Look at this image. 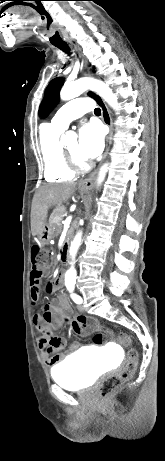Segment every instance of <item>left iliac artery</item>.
I'll use <instances>...</instances> for the list:
<instances>
[{
    "mask_svg": "<svg viewBox=\"0 0 165 461\" xmlns=\"http://www.w3.org/2000/svg\"><path fill=\"white\" fill-rule=\"evenodd\" d=\"M68 289H69L70 291H72V290H73V287H68ZM71 297H72V299L74 300L75 303H77V304L82 303V298H81L80 296L75 295V294H71Z\"/></svg>",
    "mask_w": 165,
    "mask_h": 461,
    "instance_id": "obj_1",
    "label": "left iliac artery"
}]
</instances>
